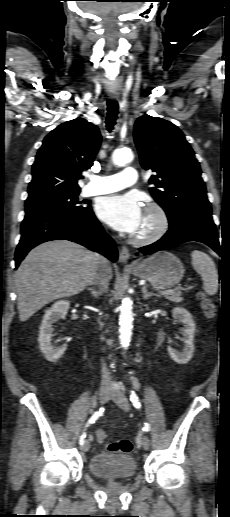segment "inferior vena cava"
I'll return each mask as SVG.
<instances>
[{"label": "inferior vena cava", "mask_w": 230, "mask_h": 517, "mask_svg": "<svg viewBox=\"0 0 230 517\" xmlns=\"http://www.w3.org/2000/svg\"><path fill=\"white\" fill-rule=\"evenodd\" d=\"M99 258H100V261H101V266L100 268L98 269V271L93 275V277L91 278L90 280V283L91 284H96L98 285L99 287H101V289L103 291H106L108 289V285H109V280H110V277L108 276L104 266L107 264V260L98 255ZM102 379L103 380H110L111 379V373L109 372L108 368L106 367V365L103 363V366H102Z\"/></svg>", "instance_id": "602c4592"}]
</instances>
